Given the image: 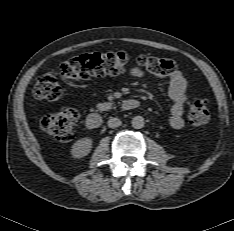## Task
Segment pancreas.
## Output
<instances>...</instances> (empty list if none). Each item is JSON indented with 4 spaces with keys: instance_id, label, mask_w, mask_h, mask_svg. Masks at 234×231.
<instances>
[{
    "instance_id": "1",
    "label": "pancreas",
    "mask_w": 234,
    "mask_h": 231,
    "mask_svg": "<svg viewBox=\"0 0 234 231\" xmlns=\"http://www.w3.org/2000/svg\"><path fill=\"white\" fill-rule=\"evenodd\" d=\"M113 103L112 102H105V103H99L97 104V109L99 111H106L112 108Z\"/></svg>"
}]
</instances>
